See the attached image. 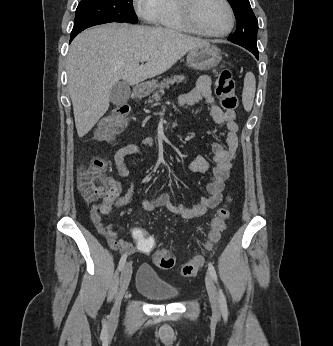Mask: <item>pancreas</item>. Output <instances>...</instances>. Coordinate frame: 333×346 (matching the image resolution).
Wrapping results in <instances>:
<instances>
[{"mask_svg": "<svg viewBox=\"0 0 333 346\" xmlns=\"http://www.w3.org/2000/svg\"><path fill=\"white\" fill-rule=\"evenodd\" d=\"M185 79V77L183 75H175L171 78H167L164 79L163 82H161L159 84V90L156 91L153 95H152V100H149V102L151 103L153 100H160V96L159 93H164V89L165 88H169L170 84H174V83H180Z\"/></svg>", "mask_w": 333, "mask_h": 346, "instance_id": "pancreas-1", "label": "pancreas"}]
</instances>
